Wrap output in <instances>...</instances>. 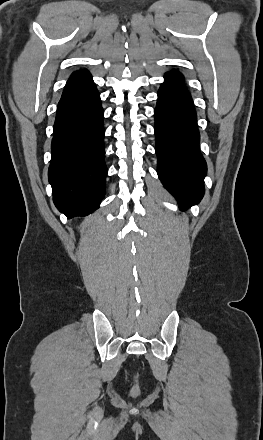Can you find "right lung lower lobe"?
I'll list each match as a JSON object with an SVG mask.
<instances>
[{
  "instance_id": "98d812e1",
  "label": "right lung lower lobe",
  "mask_w": 263,
  "mask_h": 440,
  "mask_svg": "<svg viewBox=\"0 0 263 440\" xmlns=\"http://www.w3.org/2000/svg\"><path fill=\"white\" fill-rule=\"evenodd\" d=\"M104 112L87 70L73 74L58 103L48 171L56 207L69 218L99 207L105 193Z\"/></svg>"
}]
</instances>
